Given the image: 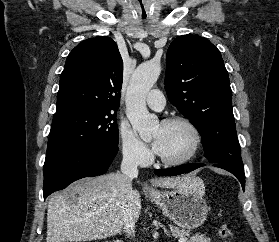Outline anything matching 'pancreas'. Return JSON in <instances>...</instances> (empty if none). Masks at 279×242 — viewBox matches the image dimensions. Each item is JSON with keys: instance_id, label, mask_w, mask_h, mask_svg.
I'll return each mask as SVG.
<instances>
[{"instance_id": "cf45deb5", "label": "pancreas", "mask_w": 279, "mask_h": 242, "mask_svg": "<svg viewBox=\"0 0 279 242\" xmlns=\"http://www.w3.org/2000/svg\"><path fill=\"white\" fill-rule=\"evenodd\" d=\"M170 231L173 234V236L178 237V238L189 237V235H190V231H186L184 229H181V228L173 226V225H170ZM188 242H211V241H210V238L197 233V234L191 236L190 239L188 240Z\"/></svg>"}]
</instances>
